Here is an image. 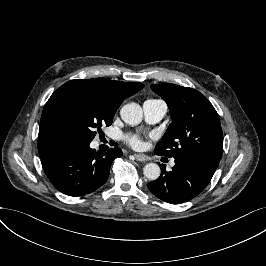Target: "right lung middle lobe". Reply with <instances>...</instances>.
Here are the masks:
<instances>
[{
    "label": "right lung middle lobe",
    "mask_w": 266,
    "mask_h": 266,
    "mask_svg": "<svg viewBox=\"0 0 266 266\" xmlns=\"http://www.w3.org/2000/svg\"><path fill=\"white\" fill-rule=\"evenodd\" d=\"M120 105L99 83L69 81L52 94L44 111L59 142H91L96 130L112 124Z\"/></svg>",
    "instance_id": "obj_1"
}]
</instances>
